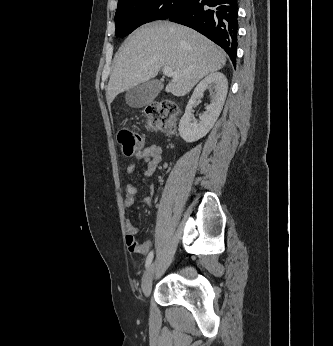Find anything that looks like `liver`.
<instances>
[{"instance_id":"liver-1","label":"liver","mask_w":333,"mask_h":346,"mask_svg":"<svg viewBox=\"0 0 333 346\" xmlns=\"http://www.w3.org/2000/svg\"><path fill=\"white\" fill-rule=\"evenodd\" d=\"M225 63V52L193 29L169 22L149 23L119 48L107 86V102L112 103L118 94L154 78L163 67L178 74L165 91L184 96L200 79Z\"/></svg>"}]
</instances>
